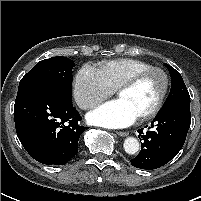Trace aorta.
I'll return each mask as SVG.
<instances>
[{
	"instance_id": "aorta-1",
	"label": "aorta",
	"mask_w": 201,
	"mask_h": 201,
	"mask_svg": "<svg viewBox=\"0 0 201 201\" xmlns=\"http://www.w3.org/2000/svg\"><path fill=\"white\" fill-rule=\"evenodd\" d=\"M126 153L133 155L139 151V142L134 137H127L123 144Z\"/></svg>"
}]
</instances>
